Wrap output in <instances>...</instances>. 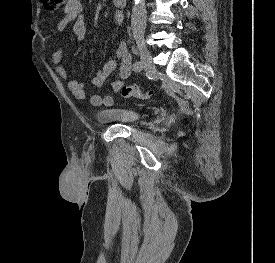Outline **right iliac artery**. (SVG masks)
Segmentation results:
<instances>
[{
  "instance_id": "82829eb1",
  "label": "right iliac artery",
  "mask_w": 275,
  "mask_h": 263,
  "mask_svg": "<svg viewBox=\"0 0 275 263\" xmlns=\"http://www.w3.org/2000/svg\"><path fill=\"white\" fill-rule=\"evenodd\" d=\"M134 71H140L142 68V65L140 62H135L133 65Z\"/></svg>"
}]
</instances>
